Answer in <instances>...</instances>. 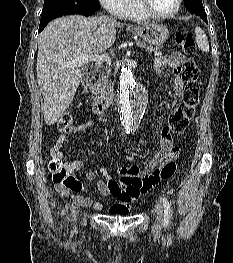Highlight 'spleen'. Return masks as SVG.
I'll return each instance as SVG.
<instances>
[{"mask_svg": "<svg viewBox=\"0 0 233 263\" xmlns=\"http://www.w3.org/2000/svg\"><path fill=\"white\" fill-rule=\"evenodd\" d=\"M195 34L196 42L198 44L199 49H201L205 53L209 52V42L204 31L200 27H196Z\"/></svg>", "mask_w": 233, "mask_h": 263, "instance_id": "spleen-1", "label": "spleen"}]
</instances>
